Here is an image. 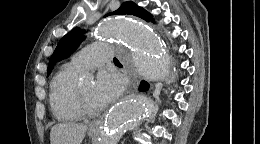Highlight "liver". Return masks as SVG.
<instances>
[{"label":"liver","mask_w":260,"mask_h":144,"mask_svg":"<svg viewBox=\"0 0 260 144\" xmlns=\"http://www.w3.org/2000/svg\"><path fill=\"white\" fill-rule=\"evenodd\" d=\"M87 129V125L74 122L56 124L51 128L50 142L51 144H81Z\"/></svg>","instance_id":"6515ba94"}]
</instances>
